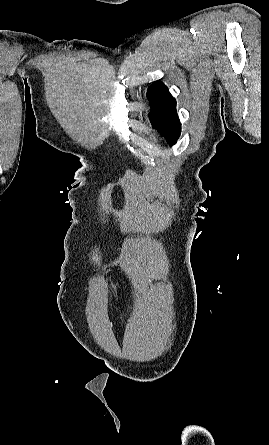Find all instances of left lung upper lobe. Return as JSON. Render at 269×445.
Segmentation results:
<instances>
[{"instance_id":"obj_1","label":"left lung upper lobe","mask_w":269,"mask_h":445,"mask_svg":"<svg viewBox=\"0 0 269 445\" xmlns=\"http://www.w3.org/2000/svg\"><path fill=\"white\" fill-rule=\"evenodd\" d=\"M147 98L151 106L149 117L152 126L172 146L176 143L181 133V124L176 113L175 99L161 81L154 82L148 88Z\"/></svg>"}]
</instances>
